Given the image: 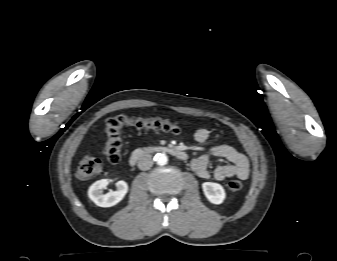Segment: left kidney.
Listing matches in <instances>:
<instances>
[{
	"instance_id": "obj_1",
	"label": "left kidney",
	"mask_w": 337,
	"mask_h": 261,
	"mask_svg": "<svg viewBox=\"0 0 337 261\" xmlns=\"http://www.w3.org/2000/svg\"><path fill=\"white\" fill-rule=\"evenodd\" d=\"M202 189L206 198L213 204H221L226 197L224 188L218 183L204 182Z\"/></svg>"
}]
</instances>
